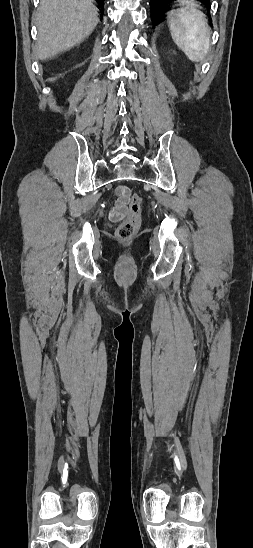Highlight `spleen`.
Segmentation results:
<instances>
[{"label": "spleen", "instance_id": "1", "mask_svg": "<svg viewBox=\"0 0 253 548\" xmlns=\"http://www.w3.org/2000/svg\"><path fill=\"white\" fill-rule=\"evenodd\" d=\"M175 44L192 62L203 61L210 48V27L206 15L193 2L172 10L167 15Z\"/></svg>", "mask_w": 253, "mask_h": 548}]
</instances>
